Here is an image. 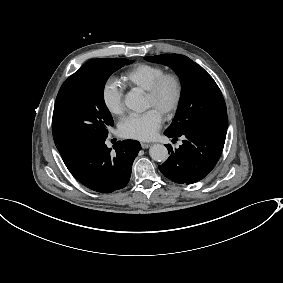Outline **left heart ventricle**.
<instances>
[{
	"instance_id": "obj_1",
	"label": "left heart ventricle",
	"mask_w": 283,
	"mask_h": 283,
	"mask_svg": "<svg viewBox=\"0 0 283 283\" xmlns=\"http://www.w3.org/2000/svg\"><path fill=\"white\" fill-rule=\"evenodd\" d=\"M173 95V87L171 83H166L160 96L156 99L150 98L147 94L145 96L146 108H154L163 113L166 106L169 104Z\"/></svg>"
}]
</instances>
